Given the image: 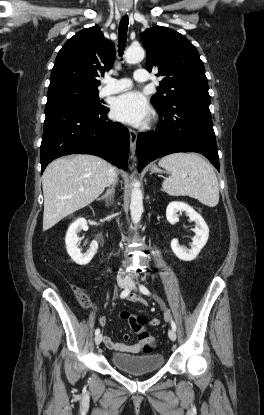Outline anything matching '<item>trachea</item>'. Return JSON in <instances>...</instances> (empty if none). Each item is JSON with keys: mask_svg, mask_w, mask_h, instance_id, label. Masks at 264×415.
Wrapping results in <instances>:
<instances>
[{"mask_svg": "<svg viewBox=\"0 0 264 415\" xmlns=\"http://www.w3.org/2000/svg\"><path fill=\"white\" fill-rule=\"evenodd\" d=\"M129 18L127 15L123 16L119 23V56L123 55L124 47L126 45L127 30H128Z\"/></svg>", "mask_w": 264, "mask_h": 415, "instance_id": "trachea-1", "label": "trachea"}]
</instances>
